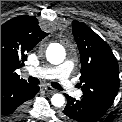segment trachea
I'll list each match as a JSON object with an SVG mask.
<instances>
[{"label": "trachea", "instance_id": "obj_1", "mask_svg": "<svg viewBox=\"0 0 122 122\" xmlns=\"http://www.w3.org/2000/svg\"><path fill=\"white\" fill-rule=\"evenodd\" d=\"M28 81L31 84H39V82H40L39 79L35 78V77H29ZM51 85H52V87H54L57 90H63V88L56 82H52Z\"/></svg>", "mask_w": 122, "mask_h": 122}]
</instances>
